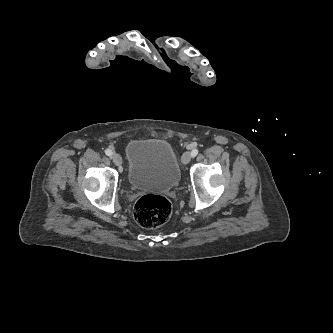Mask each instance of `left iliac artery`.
I'll use <instances>...</instances> for the list:
<instances>
[{"instance_id":"left-iliac-artery-1","label":"left iliac artery","mask_w":333,"mask_h":333,"mask_svg":"<svg viewBox=\"0 0 333 333\" xmlns=\"http://www.w3.org/2000/svg\"><path fill=\"white\" fill-rule=\"evenodd\" d=\"M198 154V150L197 149H193L191 152L192 157H195Z\"/></svg>"}]
</instances>
